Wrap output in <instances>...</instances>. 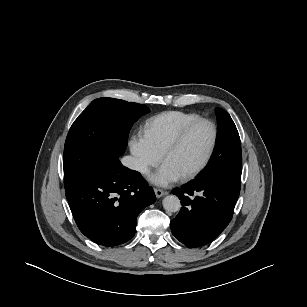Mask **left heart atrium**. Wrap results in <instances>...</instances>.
Returning a JSON list of instances; mask_svg holds the SVG:
<instances>
[{
	"label": "left heart atrium",
	"mask_w": 307,
	"mask_h": 307,
	"mask_svg": "<svg viewBox=\"0 0 307 307\" xmlns=\"http://www.w3.org/2000/svg\"><path fill=\"white\" fill-rule=\"evenodd\" d=\"M181 177L182 175L174 167L164 162L156 172L150 175V180L154 184L167 186L178 181Z\"/></svg>",
	"instance_id": "left-heart-atrium-1"
}]
</instances>
